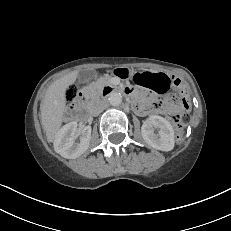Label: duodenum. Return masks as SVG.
Here are the masks:
<instances>
[{
	"mask_svg": "<svg viewBox=\"0 0 231 231\" xmlns=\"http://www.w3.org/2000/svg\"><path fill=\"white\" fill-rule=\"evenodd\" d=\"M116 88L112 87V86H104L100 92V94L98 95V99L104 98L106 97L108 94L112 93L113 91H115ZM126 94H131L130 90H126L124 91ZM87 96V93L84 94V98ZM72 117L75 119H82L83 114L81 113V111L79 109H74L72 111Z\"/></svg>",
	"mask_w": 231,
	"mask_h": 231,
	"instance_id": "1",
	"label": "duodenum"
}]
</instances>
